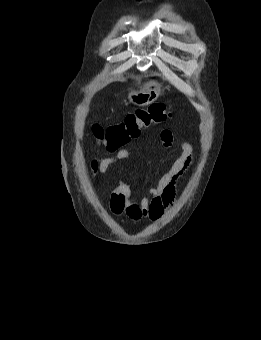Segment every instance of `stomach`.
<instances>
[{
    "instance_id": "0dacf381",
    "label": "stomach",
    "mask_w": 261,
    "mask_h": 340,
    "mask_svg": "<svg viewBox=\"0 0 261 340\" xmlns=\"http://www.w3.org/2000/svg\"><path fill=\"white\" fill-rule=\"evenodd\" d=\"M160 94V84L156 81H150L145 84L140 90H132L129 93V101L138 106H146L153 103Z\"/></svg>"
}]
</instances>
